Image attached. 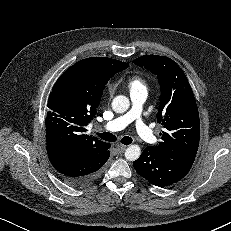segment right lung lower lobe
<instances>
[{"label": "right lung lower lobe", "mask_w": 231, "mask_h": 231, "mask_svg": "<svg viewBox=\"0 0 231 231\" xmlns=\"http://www.w3.org/2000/svg\"><path fill=\"white\" fill-rule=\"evenodd\" d=\"M110 147L111 145L108 144L107 150L103 153L82 159L71 158L53 150L47 152L51 164L66 184L83 187L92 183L101 174L110 156Z\"/></svg>", "instance_id": "98d812e1"}]
</instances>
